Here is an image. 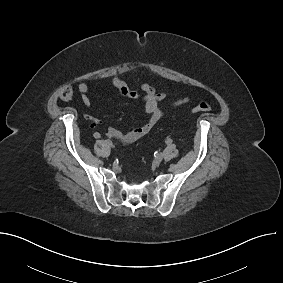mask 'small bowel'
<instances>
[{
    "label": "small bowel",
    "mask_w": 283,
    "mask_h": 283,
    "mask_svg": "<svg viewBox=\"0 0 283 283\" xmlns=\"http://www.w3.org/2000/svg\"><path fill=\"white\" fill-rule=\"evenodd\" d=\"M112 83L123 96L130 99L139 98V92L130 88L120 77L113 76ZM141 89L144 92L142 101L144 103V109L148 115V119L143 125L125 133L115 127L108 128L107 135L114 138L119 145H128L147 136L164 115V111L160 107V103L165 99L166 94L164 92H157L150 82H144L141 85ZM78 90L81 94L83 104L85 106H89L91 104V100L88 95V84L81 82L78 85ZM186 101V99L181 100L177 102L176 105L183 104ZM100 124V121L96 119L92 120V127H98Z\"/></svg>",
    "instance_id": "c3829d8e"
}]
</instances>
